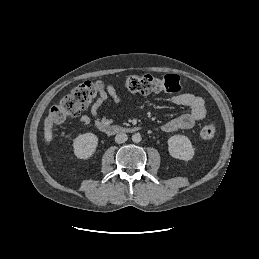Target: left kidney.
Here are the masks:
<instances>
[{
  "label": "left kidney",
  "mask_w": 259,
  "mask_h": 259,
  "mask_svg": "<svg viewBox=\"0 0 259 259\" xmlns=\"http://www.w3.org/2000/svg\"><path fill=\"white\" fill-rule=\"evenodd\" d=\"M169 154L176 159L189 161L194 156L190 139L184 135H174L168 139Z\"/></svg>",
  "instance_id": "1"
}]
</instances>
